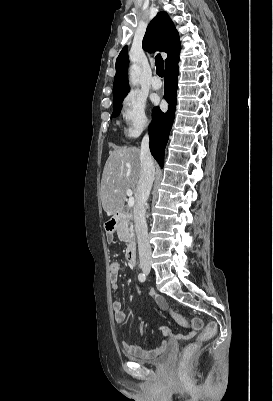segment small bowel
I'll list each match as a JSON object with an SVG mask.
<instances>
[{
  "label": "small bowel",
  "mask_w": 273,
  "mask_h": 401,
  "mask_svg": "<svg viewBox=\"0 0 273 401\" xmlns=\"http://www.w3.org/2000/svg\"><path fill=\"white\" fill-rule=\"evenodd\" d=\"M109 268H110V283L112 285L113 290L117 291L119 275H120V272L122 271V264L119 261H114V262H111ZM135 293L136 294L140 293L138 288H135ZM148 294L150 296H153V303L156 306H161V310H169V304L166 302V300L161 295L156 294L153 291H149ZM112 309H113L114 321L116 323L123 324L127 321L128 313L120 301H114L112 304ZM175 319L177 321H184L180 316ZM160 331L165 339L160 344V346L156 349V351H155L156 353H161L163 351H166L172 345L173 333H172L171 329L168 326H162L160 328ZM191 336L195 337L196 333L192 332ZM122 349L124 352L130 353L133 355H136V354L142 355V356L155 355L153 352H147V351L141 350L128 343H123Z\"/></svg>",
  "instance_id": "small-bowel-1"
}]
</instances>
